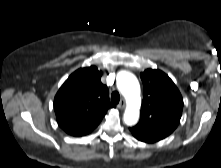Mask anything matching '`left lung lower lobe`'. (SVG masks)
Returning <instances> with one entry per match:
<instances>
[{"label": "left lung lower lobe", "instance_id": "left-lung-lower-lobe-1", "mask_svg": "<svg viewBox=\"0 0 221 168\" xmlns=\"http://www.w3.org/2000/svg\"><path fill=\"white\" fill-rule=\"evenodd\" d=\"M131 132H132L133 136H134L136 139H138V140H140V141H142V142H145V143H154V142H157V141L160 140V139L155 138V137H153V136H151V135L136 133V132H133V131H131Z\"/></svg>", "mask_w": 221, "mask_h": 168}]
</instances>
